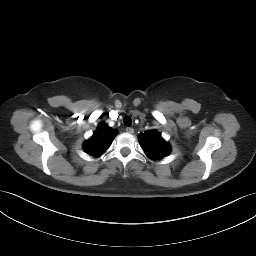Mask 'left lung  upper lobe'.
<instances>
[{"mask_svg": "<svg viewBox=\"0 0 256 256\" xmlns=\"http://www.w3.org/2000/svg\"><path fill=\"white\" fill-rule=\"evenodd\" d=\"M139 141L145 153L153 159H161L170 152L169 144L155 130H149L140 134Z\"/></svg>", "mask_w": 256, "mask_h": 256, "instance_id": "left-lung-upper-lobe-1", "label": "left lung upper lobe"}]
</instances>
